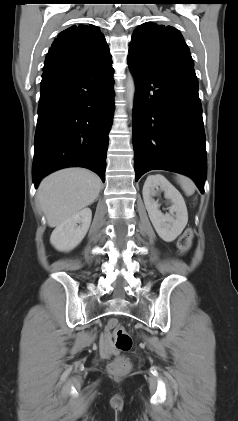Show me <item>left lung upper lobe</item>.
I'll return each mask as SVG.
<instances>
[{
    "label": "left lung upper lobe",
    "mask_w": 238,
    "mask_h": 421,
    "mask_svg": "<svg viewBox=\"0 0 238 421\" xmlns=\"http://www.w3.org/2000/svg\"><path fill=\"white\" fill-rule=\"evenodd\" d=\"M128 57L151 69L194 65L181 33L172 26L152 22L134 31Z\"/></svg>",
    "instance_id": "obj_1"
}]
</instances>
